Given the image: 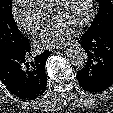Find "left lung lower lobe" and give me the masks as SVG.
<instances>
[{"label": "left lung lower lobe", "mask_w": 113, "mask_h": 113, "mask_svg": "<svg viewBox=\"0 0 113 113\" xmlns=\"http://www.w3.org/2000/svg\"><path fill=\"white\" fill-rule=\"evenodd\" d=\"M80 43L88 59L77 71L79 85L89 92H102L113 84V26L97 33L85 32Z\"/></svg>", "instance_id": "1"}]
</instances>
